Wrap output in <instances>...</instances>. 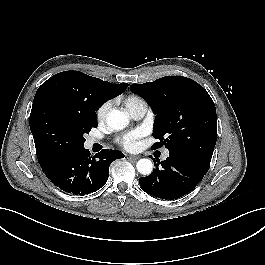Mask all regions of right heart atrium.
Returning <instances> with one entry per match:
<instances>
[{
    "label": "right heart atrium",
    "mask_w": 265,
    "mask_h": 265,
    "mask_svg": "<svg viewBox=\"0 0 265 265\" xmlns=\"http://www.w3.org/2000/svg\"><path fill=\"white\" fill-rule=\"evenodd\" d=\"M112 103L107 101L103 103L96 111V118L98 121H104L107 117L109 110L111 109Z\"/></svg>",
    "instance_id": "obj_1"
}]
</instances>
